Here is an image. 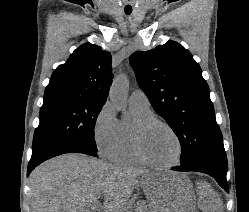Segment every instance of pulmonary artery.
I'll list each match as a JSON object with an SVG mask.
<instances>
[{
    "instance_id": "1",
    "label": "pulmonary artery",
    "mask_w": 249,
    "mask_h": 212,
    "mask_svg": "<svg viewBox=\"0 0 249 212\" xmlns=\"http://www.w3.org/2000/svg\"><path fill=\"white\" fill-rule=\"evenodd\" d=\"M121 56H127L128 54H120ZM129 104L142 109H149L150 102L146 94L141 89L134 90L129 98Z\"/></svg>"
}]
</instances>
